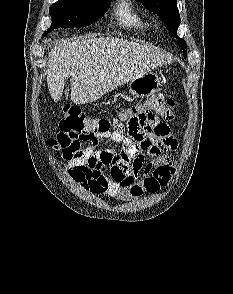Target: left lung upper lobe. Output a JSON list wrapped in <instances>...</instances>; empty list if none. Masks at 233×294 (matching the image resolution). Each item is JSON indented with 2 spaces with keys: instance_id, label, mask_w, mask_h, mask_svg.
Masks as SVG:
<instances>
[{
  "instance_id": "5c2ea615",
  "label": "left lung upper lobe",
  "mask_w": 233,
  "mask_h": 294,
  "mask_svg": "<svg viewBox=\"0 0 233 294\" xmlns=\"http://www.w3.org/2000/svg\"><path fill=\"white\" fill-rule=\"evenodd\" d=\"M137 1L142 2L145 7L157 14L162 19V21L165 22V26L169 30L170 35L178 39V46L180 49H183V54L186 57V42L182 38H179L176 34L178 26L180 25V15L177 8V0Z\"/></svg>"
}]
</instances>
